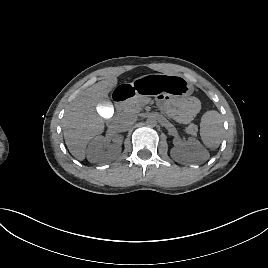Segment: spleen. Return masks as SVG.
I'll return each mask as SVG.
<instances>
[{
  "label": "spleen",
  "mask_w": 268,
  "mask_h": 268,
  "mask_svg": "<svg viewBox=\"0 0 268 268\" xmlns=\"http://www.w3.org/2000/svg\"><path fill=\"white\" fill-rule=\"evenodd\" d=\"M223 134V121L221 115L215 111H207L201 118L200 135L204 145L215 150L219 147Z\"/></svg>",
  "instance_id": "spleen-1"
}]
</instances>
